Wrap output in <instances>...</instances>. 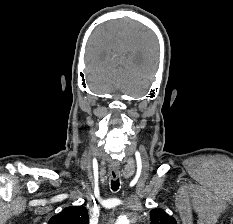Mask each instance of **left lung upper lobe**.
<instances>
[{"mask_svg":"<svg viewBox=\"0 0 233 224\" xmlns=\"http://www.w3.org/2000/svg\"><path fill=\"white\" fill-rule=\"evenodd\" d=\"M151 224H177L176 220L166 214L162 209H153L150 211Z\"/></svg>","mask_w":233,"mask_h":224,"instance_id":"obj_1","label":"left lung upper lobe"}]
</instances>
